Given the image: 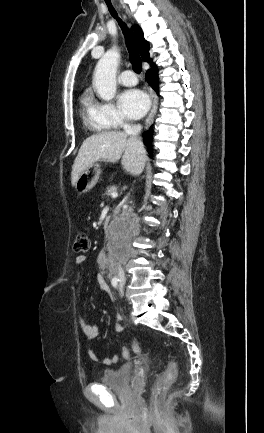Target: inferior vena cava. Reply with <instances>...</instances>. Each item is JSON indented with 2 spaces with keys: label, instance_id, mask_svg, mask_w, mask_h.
<instances>
[{
  "label": "inferior vena cava",
  "instance_id": "inferior-vena-cava-1",
  "mask_svg": "<svg viewBox=\"0 0 264 433\" xmlns=\"http://www.w3.org/2000/svg\"><path fill=\"white\" fill-rule=\"evenodd\" d=\"M141 129H142V126L140 124H135V125H129L127 123L124 124V130H125V132L128 135H130L132 137H135L136 139H138V135L141 132ZM118 276H119V278H122V279L124 278V270L122 269V267H121L120 264L118 266Z\"/></svg>",
  "mask_w": 264,
  "mask_h": 433
}]
</instances>
